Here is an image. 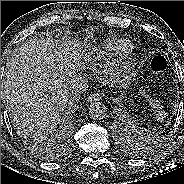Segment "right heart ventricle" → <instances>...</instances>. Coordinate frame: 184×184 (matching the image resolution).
I'll return each mask as SVG.
<instances>
[{
    "mask_svg": "<svg viewBox=\"0 0 184 184\" xmlns=\"http://www.w3.org/2000/svg\"><path fill=\"white\" fill-rule=\"evenodd\" d=\"M128 46L125 43H121L119 45L116 46L115 50H113L114 52H122L124 50H127Z\"/></svg>",
    "mask_w": 184,
    "mask_h": 184,
    "instance_id": "right-heart-ventricle-1",
    "label": "right heart ventricle"
}]
</instances>
